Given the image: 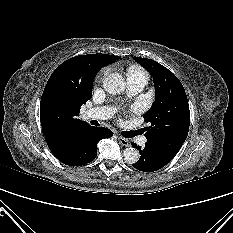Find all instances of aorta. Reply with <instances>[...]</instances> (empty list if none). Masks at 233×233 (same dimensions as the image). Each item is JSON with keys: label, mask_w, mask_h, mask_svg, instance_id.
Segmentation results:
<instances>
[{"label": "aorta", "mask_w": 233, "mask_h": 233, "mask_svg": "<svg viewBox=\"0 0 233 233\" xmlns=\"http://www.w3.org/2000/svg\"><path fill=\"white\" fill-rule=\"evenodd\" d=\"M103 88L110 94H120L125 88V80L122 75L110 74L103 81ZM124 161L129 164H134L139 160V152L133 148L129 147L123 151Z\"/></svg>", "instance_id": "762f6f07"}]
</instances>
